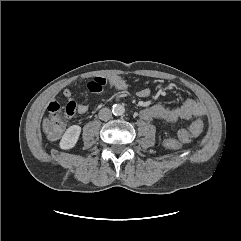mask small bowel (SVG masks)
<instances>
[{"label": "small bowel", "mask_w": 241, "mask_h": 241, "mask_svg": "<svg viewBox=\"0 0 241 241\" xmlns=\"http://www.w3.org/2000/svg\"><path fill=\"white\" fill-rule=\"evenodd\" d=\"M108 81L110 86L119 92H125L127 90V84L120 76H110ZM150 93L151 91L149 88H142L137 92V96L140 98H146ZM64 96L69 102L73 101V93L70 89L64 90ZM76 110L78 113L83 114L89 110V106L87 104H79L76 106ZM204 114V106L201 102L195 99H187L179 107H168L161 103H157L142 109L140 112L141 118L146 121L161 119L172 123L180 120H200ZM178 137L182 142H189L192 138L188 135V128L180 129Z\"/></svg>", "instance_id": "c3829d8e"}]
</instances>
